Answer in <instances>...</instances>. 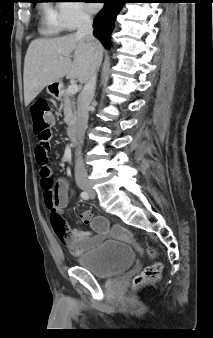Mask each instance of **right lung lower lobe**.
<instances>
[{
	"mask_svg": "<svg viewBox=\"0 0 213 338\" xmlns=\"http://www.w3.org/2000/svg\"><path fill=\"white\" fill-rule=\"evenodd\" d=\"M125 2L126 0H103L104 7L94 20V34L107 49L111 46L110 34L116 16Z\"/></svg>",
	"mask_w": 213,
	"mask_h": 338,
	"instance_id": "1",
	"label": "right lung lower lobe"
}]
</instances>
